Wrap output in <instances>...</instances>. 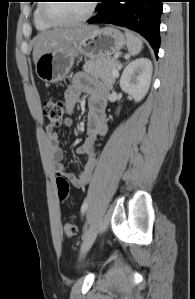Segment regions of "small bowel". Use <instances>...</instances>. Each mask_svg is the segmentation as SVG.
Segmentation results:
<instances>
[{
    "label": "small bowel",
    "instance_id": "obj_1",
    "mask_svg": "<svg viewBox=\"0 0 195 299\" xmlns=\"http://www.w3.org/2000/svg\"><path fill=\"white\" fill-rule=\"evenodd\" d=\"M107 93L108 90L102 83L88 78L83 73L76 74L65 91L64 100L68 113L73 112L76 103L83 94L89 96L90 111L87 117L86 137L84 143L76 149L78 155L87 156V161L79 174H73L65 168L62 163L63 152L59 146L58 134L54 131L52 125L46 126L45 133L55 170L58 174L67 178L74 188L85 186L90 181L95 169L94 144L97 137L103 134L107 128L105 116ZM63 125L70 127L72 121L66 118L63 121Z\"/></svg>",
    "mask_w": 195,
    "mask_h": 299
}]
</instances>
